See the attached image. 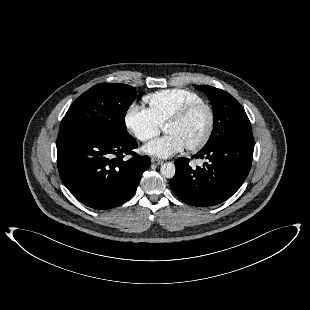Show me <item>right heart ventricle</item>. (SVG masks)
<instances>
[{"label":"right heart ventricle","mask_w":310,"mask_h":310,"mask_svg":"<svg viewBox=\"0 0 310 310\" xmlns=\"http://www.w3.org/2000/svg\"><path fill=\"white\" fill-rule=\"evenodd\" d=\"M143 101L153 119L162 126L185 106L203 99L194 91L177 88L150 93L143 97Z\"/></svg>","instance_id":"1"}]
</instances>
